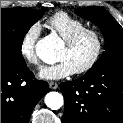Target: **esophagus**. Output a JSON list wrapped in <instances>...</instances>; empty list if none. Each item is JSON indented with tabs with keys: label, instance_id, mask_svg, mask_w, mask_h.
I'll return each instance as SVG.
<instances>
[{
	"label": "esophagus",
	"instance_id": "34e87169",
	"mask_svg": "<svg viewBox=\"0 0 123 123\" xmlns=\"http://www.w3.org/2000/svg\"><path fill=\"white\" fill-rule=\"evenodd\" d=\"M49 88L50 89H57L58 88V84L55 82H49Z\"/></svg>",
	"mask_w": 123,
	"mask_h": 123
}]
</instances>
